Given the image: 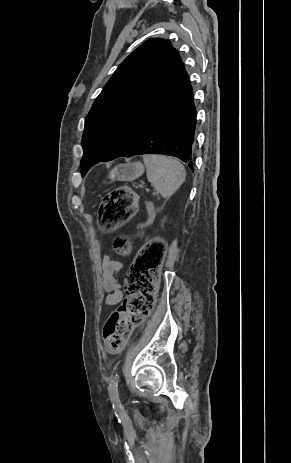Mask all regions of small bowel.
<instances>
[{
	"instance_id": "c3829d8e",
	"label": "small bowel",
	"mask_w": 291,
	"mask_h": 463,
	"mask_svg": "<svg viewBox=\"0 0 291 463\" xmlns=\"http://www.w3.org/2000/svg\"><path fill=\"white\" fill-rule=\"evenodd\" d=\"M123 263L119 260L105 257L101 267L102 285L107 295L105 304L113 306L119 303L123 297L121 284L117 274L123 270Z\"/></svg>"
}]
</instances>
